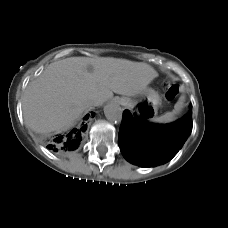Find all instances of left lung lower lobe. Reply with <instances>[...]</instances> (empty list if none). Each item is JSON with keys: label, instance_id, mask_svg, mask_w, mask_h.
Listing matches in <instances>:
<instances>
[{"label": "left lung lower lobe", "instance_id": "left-lung-lower-lobe-1", "mask_svg": "<svg viewBox=\"0 0 228 228\" xmlns=\"http://www.w3.org/2000/svg\"><path fill=\"white\" fill-rule=\"evenodd\" d=\"M192 131V110L178 121L167 125H154L144 118H133L123 112L118 145L123 156L141 167H151L172 159Z\"/></svg>", "mask_w": 228, "mask_h": 228}]
</instances>
